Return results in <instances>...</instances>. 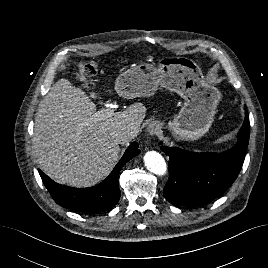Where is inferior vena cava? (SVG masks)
Wrapping results in <instances>:
<instances>
[{"mask_svg": "<svg viewBox=\"0 0 268 268\" xmlns=\"http://www.w3.org/2000/svg\"><path fill=\"white\" fill-rule=\"evenodd\" d=\"M137 131L136 130H131L128 132H121V131H112L110 133V138L114 142H120L123 140H131L137 136Z\"/></svg>", "mask_w": 268, "mask_h": 268, "instance_id": "1", "label": "inferior vena cava"}]
</instances>
